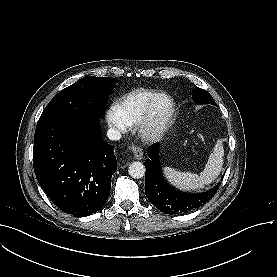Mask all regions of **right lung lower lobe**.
<instances>
[{"mask_svg":"<svg viewBox=\"0 0 277 277\" xmlns=\"http://www.w3.org/2000/svg\"><path fill=\"white\" fill-rule=\"evenodd\" d=\"M114 146L101 135L99 118L37 125L33 165L36 178L61 210L90 216L105 204L117 169Z\"/></svg>","mask_w":277,"mask_h":277,"instance_id":"98d812e1","label":"right lung lower lobe"}]
</instances>
